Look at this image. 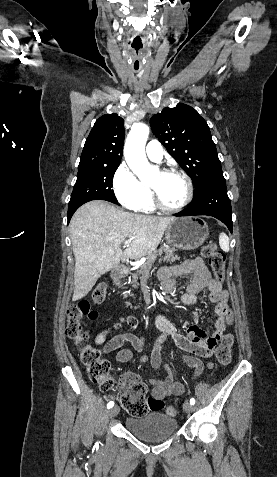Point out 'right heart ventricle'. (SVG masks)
<instances>
[{"mask_svg": "<svg viewBox=\"0 0 277 477\" xmlns=\"http://www.w3.org/2000/svg\"><path fill=\"white\" fill-rule=\"evenodd\" d=\"M146 187V186H145ZM149 190V189H148ZM155 209V206L153 204V200L149 191V196L144 205L139 209V211L142 212H152Z\"/></svg>", "mask_w": 277, "mask_h": 477, "instance_id": "1", "label": "right heart ventricle"}]
</instances>
